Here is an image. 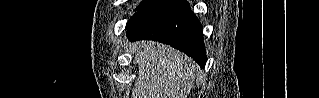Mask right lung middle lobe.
Returning a JSON list of instances; mask_svg holds the SVG:
<instances>
[{"label": "right lung middle lobe", "instance_id": "1", "mask_svg": "<svg viewBox=\"0 0 319 98\" xmlns=\"http://www.w3.org/2000/svg\"><path fill=\"white\" fill-rule=\"evenodd\" d=\"M151 0H145L143 1L138 7L137 10L141 9L142 7H144L147 3H149Z\"/></svg>", "mask_w": 319, "mask_h": 98}]
</instances>
